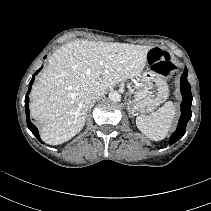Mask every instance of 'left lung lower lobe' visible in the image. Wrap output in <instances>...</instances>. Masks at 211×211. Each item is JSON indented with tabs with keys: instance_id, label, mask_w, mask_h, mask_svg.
<instances>
[{
	"instance_id": "left-lung-lower-lobe-1",
	"label": "left lung lower lobe",
	"mask_w": 211,
	"mask_h": 211,
	"mask_svg": "<svg viewBox=\"0 0 211 211\" xmlns=\"http://www.w3.org/2000/svg\"><path fill=\"white\" fill-rule=\"evenodd\" d=\"M187 74H188V71H187V68L185 67L184 72L181 76V82H180V89H181V94L183 97V101L181 103V117L179 119V123H178L176 131L173 133V135L169 139V143L171 145L183 137V135L186 132V125L192 115V112H191L192 94H191L190 84L187 80Z\"/></svg>"
}]
</instances>
